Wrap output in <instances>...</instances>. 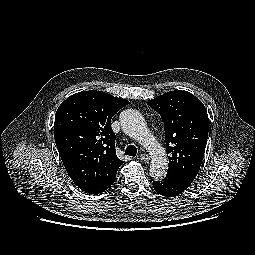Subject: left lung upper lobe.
I'll list each match as a JSON object with an SVG mask.
<instances>
[{"label":"left lung upper lobe","mask_w":255,"mask_h":255,"mask_svg":"<svg viewBox=\"0 0 255 255\" xmlns=\"http://www.w3.org/2000/svg\"><path fill=\"white\" fill-rule=\"evenodd\" d=\"M148 104L157 111L165 129L167 155L166 177L191 184L204 156L209 120L205 106L187 91H170Z\"/></svg>","instance_id":"obj_1"}]
</instances>
